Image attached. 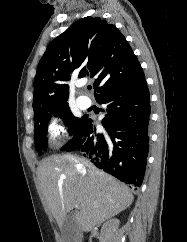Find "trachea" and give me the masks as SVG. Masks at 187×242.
<instances>
[{
  "mask_svg": "<svg viewBox=\"0 0 187 242\" xmlns=\"http://www.w3.org/2000/svg\"><path fill=\"white\" fill-rule=\"evenodd\" d=\"M89 90H91V86L89 85L88 87H87Z\"/></svg>",
  "mask_w": 187,
  "mask_h": 242,
  "instance_id": "trachea-1",
  "label": "trachea"
}]
</instances>
